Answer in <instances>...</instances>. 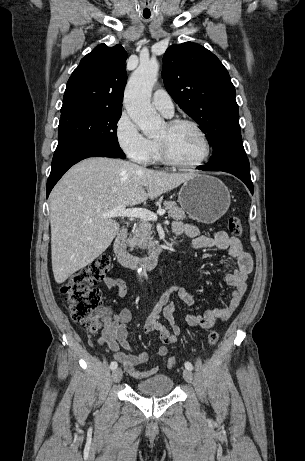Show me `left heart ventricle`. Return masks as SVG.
<instances>
[{"mask_svg":"<svg viewBox=\"0 0 305 461\" xmlns=\"http://www.w3.org/2000/svg\"><path fill=\"white\" fill-rule=\"evenodd\" d=\"M159 139L166 141L173 156L184 163L195 162L204 153V144L200 135L188 125L176 129H170L166 125Z\"/></svg>","mask_w":305,"mask_h":461,"instance_id":"b2bd125f","label":"left heart ventricle"}]
</instances>
